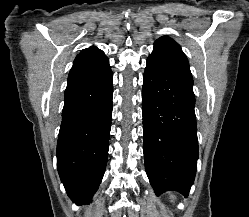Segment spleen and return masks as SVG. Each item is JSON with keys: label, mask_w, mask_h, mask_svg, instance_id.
<instances>
[{"label": "spleen", "mask_w": 249, "mask_h": 217, "mask_svg": "<svg viewBox=\"0 0 249 217\" xmlns=\"http://www.w3.org/2000/svg\"><path fill=\"white\" fill-rule=\"evenodd\" d=\"M174 198V196H171V199H173Z\"/></svg>", "instance_id": "obj_1"}]
</instances>
